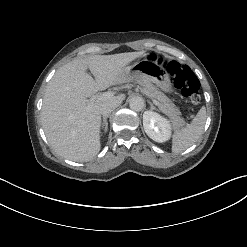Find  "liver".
I'll use <instances>...</instances> for the list:
<instances>
[{
    "mask_svg": "<svg viewBox=\"0 0 247 247\" xmlns=\"http://www.w3.org/2000/svg\"><path fill=\"white\" fill-rule=\"evenodd\" d=\"M143 54L140 51L94 55L74 59L56 71L44 94L41 123L51 148L57 154L72 161L86 162L99 153L100 107L108 101L121 103L125 95L93 103L87 98L99 90L131 81L126 66Z\"/></svg>",
    "mask_w": 247,
    "mask_h": 247,
    "instance_id": "obj_1",
    "label": "liver"
}]
</instances>
